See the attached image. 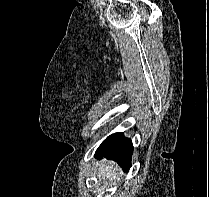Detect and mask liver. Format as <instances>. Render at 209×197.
I'll use <instances>...</instances> for the list:
<instances>
[{
    "label": "liver",
    "instance_id": "liver-1",
    "mask_svg": "<svg viewBox=\"0 0 209 197\" xmlns=\"http://www.w3.org/2000/svg\"><path fill=\"white\" fill-rule=\"evenodd\" d=\"M121 176L120 169L113 162L104 161L99 168V177L102 180H115Z\"/></svg>",
    "mask_w": 209,
    "mask_h": 197
}]
</instances>
